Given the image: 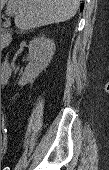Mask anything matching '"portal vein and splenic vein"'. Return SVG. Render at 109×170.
<instances>
[{
  "label": "portal vein and splenic vein",
  "mask_w": 109,
  "mask_h": 170,
  "mask_svg": "<svg viewBox=\"0 0 109 170\" xmlns=\"http://www.w3.org/2000/svg\"><path fill=\"white\" fill-rule=\"evenodd\" d=\"M3 1H4V0H3ZM6 14H8V15H10V16L16 15L15 8L10 5V6L7 8V10H6Z\"/></svg>",
  "instance_id": "portal-vein-and-splenic-vein-1"
}]
</instances>
